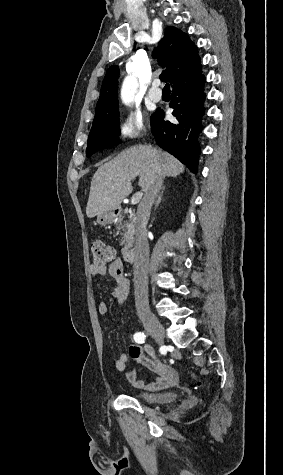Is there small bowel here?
Masks as SVG:
<instances>
[{"instance_id": "c3829d8e", "label": "small bowel", "mask_w": 283, "mask_h": 475, "mask_svg": "<svg viewBox=\"0 0 283 475\" xmlns=\"http://www.w3.org/2000/svg\"><path fill=\"white\" fill-rule=\"evenodd\" d=\"M91 276H104L108 274L113 280L112 297L118 305H124L129 297L130 283L123 272V262L119 258L113 259L108 264L92 263L88 267ZM100 316L108 313L106 302H100L97 306ZM104 330H108L104 326ZM133 358L139 365L151 371L154 376L152 379H140L138 369L132 368L125 373L126 380L136 388H145L148 390L167 389L178 384L179 377L177 371L170 365L164 363L150 346H140L132 343L128 353L122 352L114 362L117 371L123 372L127 367L129 358Z\"/></svg>"}]
</instances>
